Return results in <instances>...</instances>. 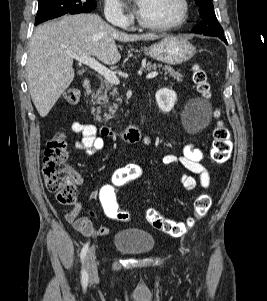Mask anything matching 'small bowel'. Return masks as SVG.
<instances>
[{"instance_id":"small-bowel-1","label":"small bowel","mask_w":267,"mask_h":301,"mask_svg":"<svg viewBox=\"0 0 267 301\" xmlns=\"http://www.w3.org/2000/svg\"><path fill=\"white\" fill-rule=\"evenodd\" d=\"M71 131L80 136V139L75 142V147L78 150L84 151L87 155H92L96 151L103 149L104 139L98 134L97 128L93 124H85L81 122H73ZM148 142V139H146ZM204 153L201 149L188 143L184 145L182 153L166 154L163 156V163L170 166L183 167L189 173L199 176V184L206 189L210 186V174L203 164ZM76 184L82 183L81 176L70 170ZM189 173H183L180 177V183L186 191H192L198 184V181ZM97 192L91 193L90 199L95 202L97 199ZM81 207L76 204L75 207L65 213V219L71 223L76 231L84 237H93L94 235L107 236L110 234V229L106 226L96 227L93 221L86 216L80 215ZM89 215L92 218L96 217L94 209L89 210Z\"/></svg>"}]
</instances>
